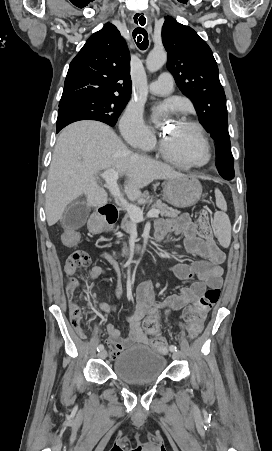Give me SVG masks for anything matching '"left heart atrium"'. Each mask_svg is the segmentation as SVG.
Instances as JSON below:
<instances>
[{"mask_svg":"<svg viewBox=\"0 0 272 451\" xmlns=\"http://www.w3.org/2000/svg\"><path fill=\"white\" fill-rule=\"evenodd\" d=\"M169 107V105H164V106H162V107H159L157 110H156V113L155 114H158L161 110H163L164 108H168ZM156 116V115H155Z\"/></svg>","mask_w":272,"mask_h":451,"instance_id":"left-heart-atrium-1","label":"left heart atrium"}]
</instances>
